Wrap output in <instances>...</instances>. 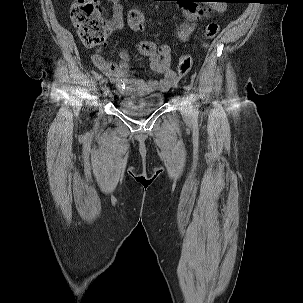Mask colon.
Returning a JSON list of instances; mask_svg holds the SVG:
<instances>
[{"label":"colon","instance_id":"1","mask_svg":"<svg viewBox=\"0 0 303 303\" xmlns=\"http://www.w3.org/2000/svg\"><path fill=\"white\" fill-rule=\"evenodd\" d=\"M71 19L77 28L78 36L86 47L102 45L110 31V26L101 16L98 0H73ZM219 32L217 22H209L205 28V38L213 39ZM192 65V58L183 55L178 62V73L184 75Z\"/></svg>","mask_w":303,"mask_h":303}]
</instances>
